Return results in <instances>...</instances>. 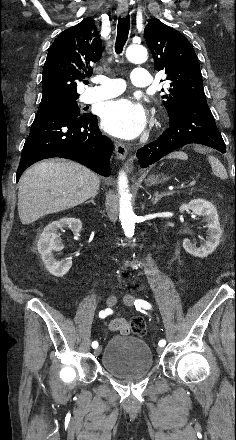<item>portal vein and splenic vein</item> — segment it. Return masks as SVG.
I'll list each match as a JSON object with an SVG mask.
<instances>
[{
	"label": "portal vein and splenic vein",
	"instance_id": "18ae733b",
	"mask_svg": "<svg viewBox=\"0 0 236 440\" xmlns=\"http://www.w3.org/2000/svg\"><path fill=\"white\" fill-rule=\"evenodd\" d=\"M195 184H196V181L193 180V181H191V182L189 183V186H194Z\"/></svg>",
	"mask_w": 236,
	"mask_h": 440
}]
</instances>
